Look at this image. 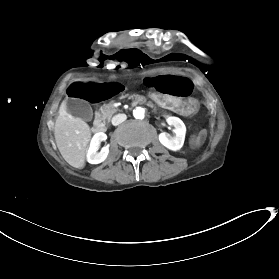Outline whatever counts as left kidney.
<instances>
[{"label":"left kidney","mask_w":279,"mask_h":279,"mask_svg":"<svg viewBox=\"0 0 279 279\" xmlns=\"http://www.w3.org/2000/svg\"><path fill=\"white\" fill-rule=\"evenodd\" d=\"M166 121L169 125L174 126L173 132L175 133V136H171L169 133L163 132L159 134V141L170 150H180L184 144L186 126L178 117L170 116L166 118Z\"/></svg>","instance_id":"obj_1"}]
</instances>
